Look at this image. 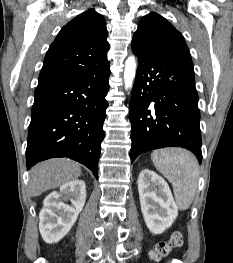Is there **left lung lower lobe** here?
Here are the masks:
<instances>
[{"mask_svg": "<svg viewBox=\"0 0 233 263\" xmlns=\"http://www.w3.org/2000/svg\"><path fill=\"white\" fill-rule=\"evenodd\" d=\"M138 68L132 89L131 163L143 152L171 146L202 161L200 112L193 63L135 51Z\"/></svg>", "mask_w": 233, "mask_h": 263, "instance_id": "0a47b994", "label": "left lung lower lobe"}]
</instances>
